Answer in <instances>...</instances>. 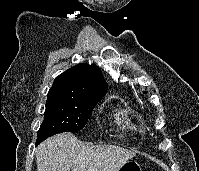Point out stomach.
<instances>
[{
	"label": "stomach",
	"mask_w": 199,
	"mask_h": 171,
	"mask_svg": "<svg viewBox=\"0 0 199 171\" xmlns=\"http://www.w3.org/2000/svg\"><path fill=\"white\" fill-rule=\"evenodd\" d=\"M117 171H142L140 164L133 160H128L123 163Z\"/></svg>",
	"instance_id": "1"
}]
</instances>
